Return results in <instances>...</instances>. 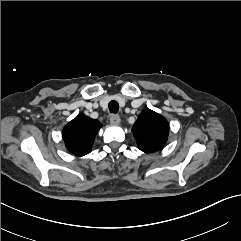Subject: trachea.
Returning a JSON list of instances; mask_svg holds the SVG:
<instances>
[{
  "label": "trachea",
  "mask_w": 241,
  "mask_h": 241,
  "mask_svg": "<svg viewBox=\"0 0 241 241\" xmlns=\"http://www.w3.org/2000/svg\"><path fill=\"white\" fill-rule=\"evenodd\" d=\"M108 106L110 113L116 114L119 111V104L115 100L110 101Z\"/></svg>",
  "instance_id": "trachea-1"
}]
</instances>
